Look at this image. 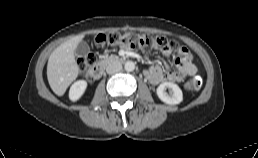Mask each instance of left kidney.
<instances>
[{"label": "left kidney", "instance_id": "obj_1", "mask_svg": "<svg viewBox=\"0 0 258 158\" xmlns=\"http://www.w3.org/2000/svg\"><path fill=\"white\" fill-rule=\"evenodd\" d=\"M170 89L167 93L166 89ZM157 96L161 101L169 105H176L182 102L183 93L179 86L172 82L161 83L156 89Z\"/></svg>", "mask_w": 258, "mask_h": 158}]
</instances>
